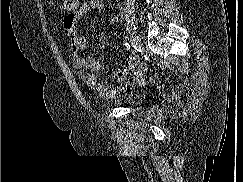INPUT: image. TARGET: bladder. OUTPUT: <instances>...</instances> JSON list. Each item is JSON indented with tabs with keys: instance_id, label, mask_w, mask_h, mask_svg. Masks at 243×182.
<instances>
[{
	"instance_id": "1",
	"label": "bladder",
	"mask_w": 243,
	"mask_h": 182,
	"mask_svg": "<svg viewBox=\"0 0 243 182\" xmlns=\"http://www.w3.org/2000/svg\"><path fill=\"white\" fill-rule=\"evenodd\" d=\"M144 101V94L139 91L127 92L121 100V104L125 106H137Z\"/></svg>"
}]
</instances>
